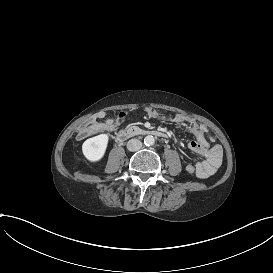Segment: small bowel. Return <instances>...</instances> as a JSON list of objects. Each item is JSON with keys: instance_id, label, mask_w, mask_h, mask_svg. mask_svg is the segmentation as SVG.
Returning <instances> with one entry per match:
<instances>
[{"instance_id": "1", "label": "small bowel", "mask_w": 273, "mask_h": 273, "mask_svg": "<svg viewBox=\"0 0 273 273\" xmlns=\"http://www.w3.org/2000/svg\"><path fill=\"white\" fill-rule=\"evenodd\" d=\"M126 113L120 112L115 117H108L105 112H98L95 115V123L91 127L82 126L80 134L89 136L100 132H113L125 121ZM174 127L183 134H188L194 137V140L189 142L188 148L195 154L203 157V160L195 166L189 165L187 171L192 173L194 170L199 178H208L221 165L223 157V149L216 144L210 146L207 140L209 131L207 127L195 119L187 117L183 114H176L171 119ZM193 167V171L189 168Z\"/></svg>"}]
</instances>
